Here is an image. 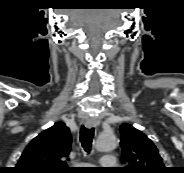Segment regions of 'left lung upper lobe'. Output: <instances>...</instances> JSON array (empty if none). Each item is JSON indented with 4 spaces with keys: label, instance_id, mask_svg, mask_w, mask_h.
<instances>
[{
    "label": "left lung upper lobe",
    "instance_id": "1",
    "mask_svg": "<svg viewBox=\"0 0 184 173\" xmlns=\"http://www.w3.org/2000/svg\"><path fill=\"white\" fill-rule=\"evenodd\" d=\"M120 132L121 160L127 165L121 168V173H165L167 171L156 146L145 134L130 124H122Z\"/></svg>",
    "mask_w": 184,
    "mask_h": 173
}]
</instances>
